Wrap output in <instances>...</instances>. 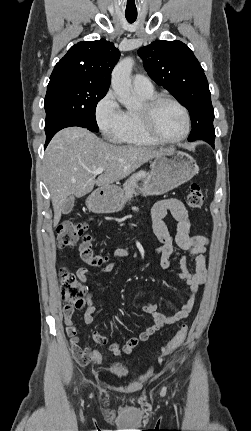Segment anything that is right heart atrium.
Here are the masks:
<instances>
[{
	"mask_svg": "<svg viewBox=\"0 0 251 431\" xmlns=\"http://www.w3.org/2000/svg\"><path fill=\"white\" fill-rule=\"evenodd\" d=\"M94 116L101 133L108 139H116L125 124V111L112 90L98 100Z\"/></svg>",
	"mask_w": 251,
	"mask_h": 431,
	"instance_id": "obj_1",
	"label": "right heart atrium"
}]
</instances>
